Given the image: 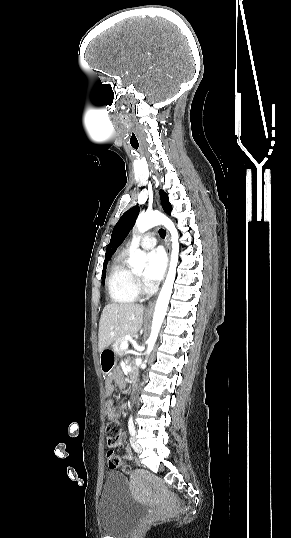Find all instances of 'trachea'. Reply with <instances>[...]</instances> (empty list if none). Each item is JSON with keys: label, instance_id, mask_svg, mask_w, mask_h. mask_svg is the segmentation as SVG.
I'll use <instances>...</instances> for the list:
<instances>
[{"label": "trachea", "instance_id": "1", "mask_svg": "<svg viewBox=\"0 0 291 538\" xmlns=\"http://www.w3.org/2000/svg\"><path fill=\"white\" fill-rule=\"evenodd\" d=\"M159 234H160V236H161L162 238H165V236H166V231H165L164 229H160V230H159Z\"/></svg>", "mask_w": 291, "mask_h": 538}]
</instances>
